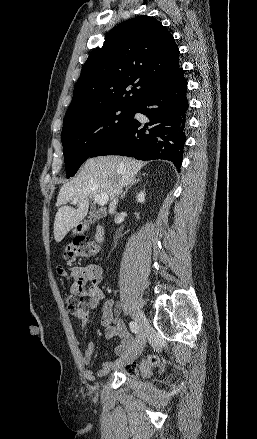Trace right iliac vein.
Returning <instances> with one entry per match:
<instances>
[{"label":"right iliac vein","mask_w":257,"mask_h":439,"mask_svg":"<svg viewBox=\"0 0 257 439\" xmlns=\"http://www.w3.org/2000/svg\"><path fill=\"white\" fill-rule=\"evenodd\" d=\"M134 319L139 326V333L136 339V352L134 357V359H136L145 346L148 323L145 315L141 311H138L134 315Z\"/></svg>","instance_id":"63e3f726"}]
</instances>
